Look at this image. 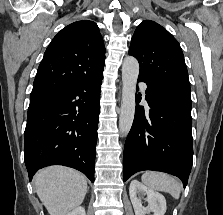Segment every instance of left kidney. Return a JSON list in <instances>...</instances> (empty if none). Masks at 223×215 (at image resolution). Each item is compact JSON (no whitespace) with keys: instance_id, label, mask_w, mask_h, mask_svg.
<instances>
[{"instance_id":"obj_1","label":"left kidney","mask_w":223,"mask_h":215,"mask_svg":"<svg viewBox=\"0 0 223 215\" xmlns=\"http://www.w3.org/2000/svg\"><path fill=\"white\" fill-rule=\"evenodd\" d=\"M139 191L147 193L146 199L150 203L148 207H143L141 199H138L137 193H139ZM129 193L135 215H145V213H149V211H153L154 215H164L167 209L166 199L159 191L149 189V187H146V185H143V183H140L137 179H132Z\"/></svg>"}]
</instances>
